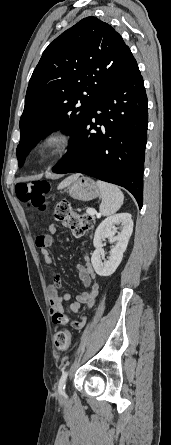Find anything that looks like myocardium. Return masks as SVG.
<instances>
[{"mask_svg":"<svg viewBox=\"0 0 171 445\" xmlns=\"http://www.w3.org/2000/svg\"><path fill=\"white\" fill-rule=\"evenodd\" d=\"M70 144L71 134L65 129H55L41 138L38 154L43 158H53L64 152Z\"/></svg>","mask_w":171,"mask_h":445,"instance_id":"obj_1","label":"myocardium"}]
</instances>
